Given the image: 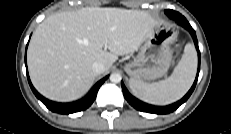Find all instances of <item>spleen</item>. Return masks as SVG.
Instances as JSON below:
<instances>
[{
  "label": "spleen",
  "instance_id": "3e777b00",
  "mask_svg": "<svg viewBox=\"0 0 231 134\" xmlns=\"http://www.w3.org/2000/svg\"><path fill=\"white\" fill-rule=\"evenodd\" d=\"M197 70V53L192 43L186 44L181 60L170 77L146 83L129 80L133 93L141 100L154 105H167L182 98L190 89Z\"/></svg>",
  "mask_w": 231,
  "mask_h": 134
}]
</instances>
